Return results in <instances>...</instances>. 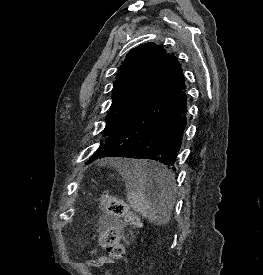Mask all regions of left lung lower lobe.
I'll list each match as a JSON object with an SVG mask.
<instances>
[{"mask_svg": "<svg viewBox=\"0 0 263 275\" xmlns=\"http://www.w3.org/2000/svg\"><path fill=\"white\" fill-rule=\"evenodd\" d=\"M184 81L181 64L175 57L160 82L119 130L108 138L91 162L104 157L151 159L176 171L175 163L186 126ZM145 173L152 183H167L169 180L165 174L155 170L147 169Z\"/></svg>", "mask_w": 263, "mask_h": 275, "instance_id": "0a47b994", "label": "left lung lower lobe"}]
</instances>
